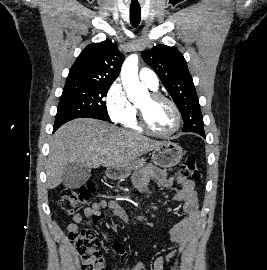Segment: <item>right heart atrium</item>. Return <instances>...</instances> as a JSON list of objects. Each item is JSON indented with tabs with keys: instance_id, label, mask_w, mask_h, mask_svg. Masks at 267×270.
Wrapping results in <instances>:
<instances>
[{
	"instance_id": "d8ad5b80",
	"label": "right heart atrium",
	"mask_w": 267,
	"mask_h": 270,
	"mask_svg": "<svg viewBox=\"0 0 267 270\" xmlns=\"http://www.w3.org/2000/svg\"><path fill=\"white\" fill-rule=\"evenodd\" d=\"M105 104L110 119L115 123L123 124L132 117L135 111L119 81H115L109 87L105 96Z\"/></svg>"
}]
</instances>
